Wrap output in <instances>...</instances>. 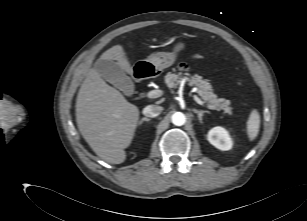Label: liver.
<instances>
[{"label": "liver", "mask_w": 307, "mask_h": 221, "mask_svg": "<svg viewBox=\"0 0 307 221\" xmlns=\"http://www.w3.org/2000/svg\"><path fill=\"white\" fill-rule=\"evenodd\" d=\"M100 58L116 60L124 71L133 73L121 45L111 47ZM138 120V107L129 103L102 79L95 67L92 68L77 95L76 121L81 135L96 155L110 164L123 163L125 149L134 138Z\"/></svg>", "instance_id": "6515ba94"}]
</instances>
